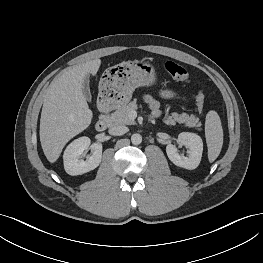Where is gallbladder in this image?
<instances>
[{"instance_id": "gallbladder-1", "label": "gallbladder", "mask_w": 263, "mask_h": 263, "mask_svg": "<svg viewBox=\"0 0 263 263\" xmlns=\"http://www.w3.org/2000/svg\"><path fill=\"white\" fill-rule=\"evenodd\" d=\"M82 91H83L85 98L89 102H91L92 96H91L90 87H89V76L88 75H86V77L84 78Z\"/></svg>"}]
</instances>
